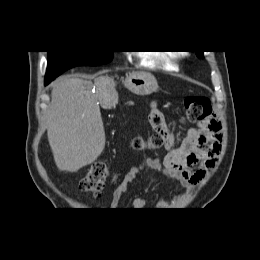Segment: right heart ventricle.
Instances as JSON below:
<instances>
[{"label":"right heart ventricle","instance_id":"1","mask_svg":"<svg viewBox=\"0 0 260 260\" xmlns=\"http://www.w3.org/2000/svg\"><path fill=\"white\" fill-rule=\"evenodd\" d=\"M141 60L146 65H150V64L154 65V64L161 63L166 70H170V71H174L178 69L176 56L174 55H169V56L159 58L151 54H142Z\"/></svg>","mask_w":260,"mask_h":260}]
</instances>
